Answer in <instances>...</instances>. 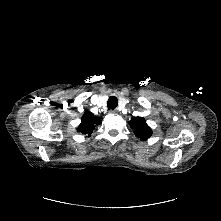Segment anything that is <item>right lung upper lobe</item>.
<instances>
[{
  "label": "right lung upper lobe",
  "instance_id": "1",
  "mask_svg": "<svg viewBox=\"0 0 221 221\" xmlns=\"http://www.w3.org/2000/svg\"><path fill=\"white\" fill-rule=\"evenodd\" d=\"M99 124V119L94 116L90 111H86L82 118L77 131L90 136L96 125Z\"/></svg>",
  "mask_w": 221,
  "mask_h": 221
}]
</instances>
